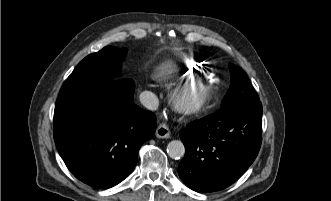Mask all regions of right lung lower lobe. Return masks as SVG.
<instances>
[{
  "label": "right lung lower lobe",
  "instance_id": "1",
  "mask_svg": "<svg viewBox=\"0 0 331 201\" xmlns=\"http://www.w3.org/2000/svg\"><path fill=\"white\" fill-rule=\"evenodd\" d=\"M134 81L107 79L58 98L54 140L71 173L107 189L134 169L141 145L152 138L156 117L133 103Z\"/></svg>",
  "mask_w": 331,
  "mask_h": 201
}]
</instances>
